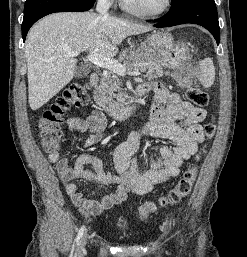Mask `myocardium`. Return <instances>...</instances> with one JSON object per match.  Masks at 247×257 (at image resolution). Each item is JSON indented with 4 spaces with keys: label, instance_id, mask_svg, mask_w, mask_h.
<instances>
[{
    "label": "myocardium",
    "instance_id": "myocardium-1",
    "mask_svg": "<svg viewBox=\"0 0 247 257\" xmlns=\"http://www.w3.org/2000/svg\"><path fill=\"white\" fill-rule=\"evenodd\" d=\"M121 7L128 13L141 18L157 19L164 16L172 7V0H164L161 8L155 11H145L134 8L126 0H120Z\"/></svg>",
    "mask_w": 247,
    "mask_h": 257
}]
</instances>
